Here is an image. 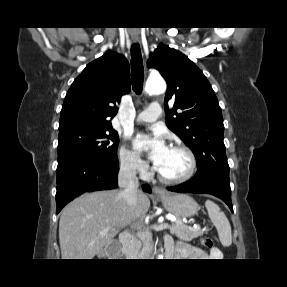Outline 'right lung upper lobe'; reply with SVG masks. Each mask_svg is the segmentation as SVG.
<instances>
[{"instance_id": "obj_1", "label": "right lung upper lobe", "mask_w": 287, "mask_h": 287, "mask_svg": "<svg viewBox=\"0 0 287 287\" xmlns=\"http://www.w3.org/2000/svg\"><path fill=\"white\" fill-rule=\"evenodd\" d=\"M131 89L127 59L113 51L89 63L68 90L59 128L76 123L112 127L116 104Z\"/></svg>"}]
</instances>
